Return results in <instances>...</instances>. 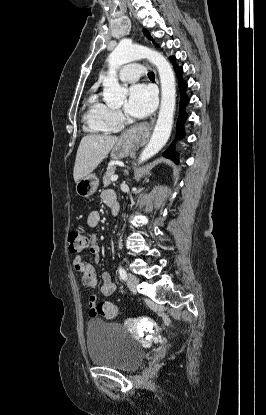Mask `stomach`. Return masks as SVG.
Here are the masks:
<instances>
[{
  "instance_id": "stomach-1",
  "label": "stomach",
  "mask_w": 266,
  "mask_h": 415,
  "mask_svg": "<svg viewBox=\"0 0 266 415\" xmlns=\"http://www.w3.org/2000/svg\"><path fill=\"white\" fill-rule=\"evenodd\" d=\"M135 145L134 139H120L114 145L111 151V157L115 160L128 156L129 152ZM99 185V179L95 174H89L76 183V193L82 198H88L93 195Z\"/></svg>"
}]
</instances>
